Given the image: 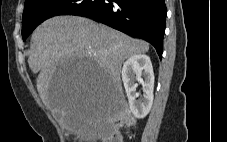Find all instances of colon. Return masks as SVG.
Wrapping results in <instances>:
<instances>
[{
  "mask_svg": "<svg viewBox=\"0 0 227 142\" xmlns=\"http://www.w3.org/2000/svg\"><path fill=\"white\" fill-rule=\"evenodd\" d=\"M123 125L133 126L134 119L125 111L116 112L103 127V142H121L120 128Z\"/></svg>",
  "mask_w": 227,
  "mask_h": 142,
  "instance_id": "5ec220e1",
  "label": "colon"
}]
</instances>
